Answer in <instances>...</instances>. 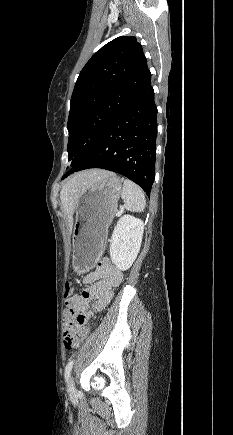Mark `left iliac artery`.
Segmentation results:
<instances>
[{
    "mask_svg": "<svg viewBox=\"0 0 233 435\" xmlns=\"http://www.w3.org/2000/svg\"><path fill=\"white\" fill-rule=\"evenodd\" d=\"M73 364H74V360H70V361L68 362V364L66 365V367H65L64 375H65V379H66V381H68V379H69L70 372H71V370H72Z\"/></svg>",
    "mask_w": 233,
    "mask_h": 435,
    "instance_id": "1",
    "label": "left iliac artery"
}]
</instances>
